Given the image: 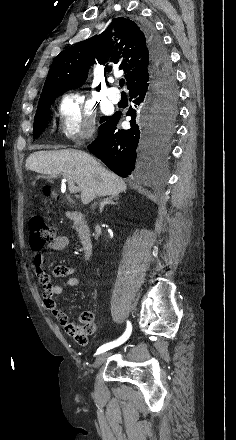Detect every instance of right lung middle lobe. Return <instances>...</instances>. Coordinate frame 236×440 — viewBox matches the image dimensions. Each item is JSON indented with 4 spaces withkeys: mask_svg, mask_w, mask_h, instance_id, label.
I'll return each instance as SVG.
<instances>
[{
    "mask_svg": "<svg viewBox=\"0 0 236 440\" xmlns=\"http://www.w3.org/2000/svg\"><path fill=\"white\" fill-rule=\"evenodd\" d=\"M57 94L49 95L39 100L37 111L34 119L33 136L37 137L48 125L50 104L57 98ZM154 99L160 106L157 113L158 125H159V140L164 146V153L156 159V163L161 162L166 154V144L168 137L172 132V121L176 112L177 102V87L174 82H167L162 85H158L153 91ZM105 117H102L100 122H103Z\"/></svg>",
    "mask_w": 236,
    "mask_h": 440,
    "instance_id": "dd1d6c3e",
    "label": "right lung middle lobe"
}]
</instances>
